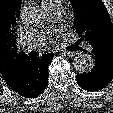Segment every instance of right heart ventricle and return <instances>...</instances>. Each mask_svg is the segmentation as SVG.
Instances as JSON below:
<instances>
[{"mask_svg":"<svg viewBox=\"0 0 113 113\" xmlns=\"http://www.w3.org/2000/svg\"><path fill=\"white\" fill-rule=\"evenodd\" d=\"M54 0H43V4L44 5H47V4H49V3H51V2H53Z\"/></svg>","mask_w":113,"mask_h":113,"instance_id":"obj_1","label":"right heart ventricle"}]
</instances>
